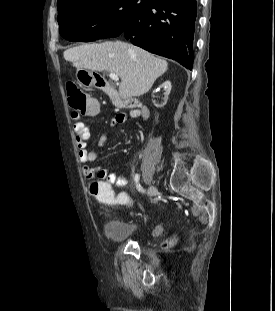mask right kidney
<instances>
[{"instance_id": "obj_1", "label": "right kidney", "mask_w": 275, "mask_h": 311, "mask_svg": "<svg viewBox=\"0 0 275 311\" xmlns=\"http://www.w3.org/2000/svg\"><path fill=\"white\" fill-rule=\"evenodd\" d=\"M171 87L170 81H165L160 87H154L152 95L156 108H165L166 105H169L168 95L170 94Z\"/></svg>"}]
</instances>
